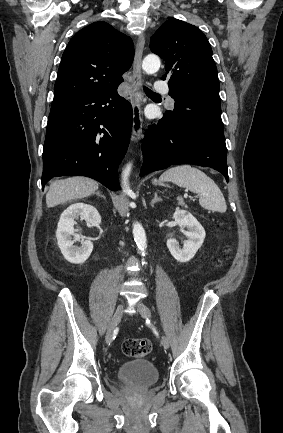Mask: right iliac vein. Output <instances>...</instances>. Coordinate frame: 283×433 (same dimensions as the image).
Segmentation results:
<instances>
[{
  "label": "right iliac vein",
  "mask_w": 283,
  "mask_h": 433,
  "mask_svg": "<svg viewBox=\"0 0 283 433\" xmlns=\"http://www.w3.org/2000/svg\"><path fill=\"white\" fill-rule=\"evenodd\" d=\"M123 311H124V305H120L117 308V310H116V312H115V314H114V316H113V318H112V320H111V322L107 328L106 336H105L106 343H109L111 341L115 327L120 323V320H121L122 315H123Z\"/></svg>",
  "instance_id": "obj_1"
}]
</instances>
